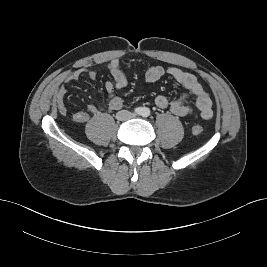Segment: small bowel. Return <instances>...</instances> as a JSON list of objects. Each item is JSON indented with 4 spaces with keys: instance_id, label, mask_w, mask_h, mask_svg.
Masks as SVG:
<instances>
[{
    "instance_id": "small-bowel-1",
    "label": "small bowel",
    "mask_w": 267,
    "mask_h": 267,
    "mask_svg": "<svg viewBox=\"0 0 267 267\" xmlns=\"http://www.w3.org/2000/svg\"><path fill=\"white\" fill-rule=\"evenodd\" d=\"M107 68L112 75V80L105 83V90L108 95L106 108L108 110H120L124 107V101L116 92L127 86V78L118 59H112L107 62ZM83 74H86L91 80L96 79L97 76L94 70L78 69L66 75L65 82L77 81ZM166 75L183 86L187 92L174 100H169L164 95H158L154 101L158 108H168L171 113L179 117L194 116L204 120L212 117V98L193 74L177 67L164 68L162 66H152L146 71L145 78L148 82H156ZM66 94L67 88L65 85H61L55 94L57 109L61 115L67 114V107L65 104ZM189 96L195 99L194 105L187 103ZM104 110V107L89 104L86 111H77L72 115V118L77 123H86L89 120L90 114L98 115Z\"/></svg>"
}]
</instances>
